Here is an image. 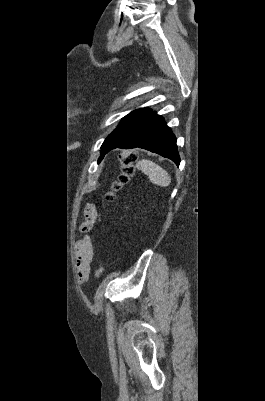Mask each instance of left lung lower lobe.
Listing matches in <instances>:
<instances>
[{
	"label": "left lung lower lobe",
	"mask_w": 265,
	"mask_h": 401,
	"mask_svg": "<svg viewBox=\"0 0 265 401\" xmlns=\"http://www.w3.org/2000/svg\"><path fill=\"white\" fill-rule=\"evenodd\" d=\"M143 148L169 158L179 166L176 138L163 117L141 109L123 121L104 141L101 157L115 148Z\"/></svg>",
	"instance_id": "left-lung-lower-lobe-1"
}]
</instances>
